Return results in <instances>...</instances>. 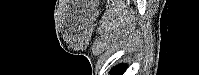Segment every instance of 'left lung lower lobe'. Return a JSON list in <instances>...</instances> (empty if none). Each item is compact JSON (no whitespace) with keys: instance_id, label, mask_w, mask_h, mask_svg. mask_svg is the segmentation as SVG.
I'll use <instances>...</instances> for the list:
<instances>
[{"instance_id":"0a47b994","label":"left lung lower lobe","mask_w":199,"mask_h":75,"mask_svg":"<svg viewBox=\"0 0 199 75\" xmlns=\"http://www.w3.org/2000/svg\"><path fill=\"white\" fill-rule=\"evenodd\" d=\"M126 70V65H118L111 70V75H122Z\"/></svg>"}]
</instances>
